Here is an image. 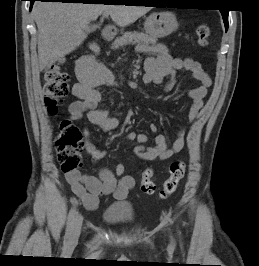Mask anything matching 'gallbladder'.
Returning a JSON list of instances; mask_svg holds the SVG:
<instances>
[{
    "mask_svg": "<svg viewBox=\"0 0 259 266\" xmlns=\"http://www.w3.org/2000/svg\"><path fill=\"white\" fill-rule=\"evenodd\" d=\"M95 30V26H89V28H88V32H91V31H94Z\"/></svg>",
    "mask_w": 259,
    "mask_h": 266,
    "instance_id": "obj_1",
    "label": "gallbladder"
}]
</instances>
